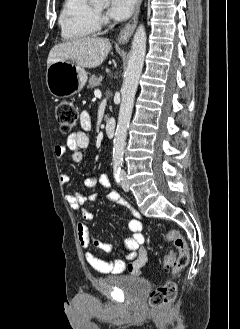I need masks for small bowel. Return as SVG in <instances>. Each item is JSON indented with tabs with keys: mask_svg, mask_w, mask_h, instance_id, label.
Listing matches in <instances>:
<instances>
[{
	"mask_svg": "<svg viewBox=\"0 0 240 329\" xmlns=\"http://www.w3.org/2000/svg\"><path fill=\"white\" fill-rule=\"evenodd\" d=\"M90 128V113L88 111H83L80 115V130L70 134L64 144H58L55 146L54 153L57 159H64L66 151L69 149L71 152L69 161L73 163H82L84 159L83 150L89 145L88 131ZM59 179L62 184H67L69 182V175L61 170ZM96 184H100L104 187H110L111 185L108 176L104 173H99L93 177H89L84 182L85 187L88 189ZM96 199V194L86 196L80 192L69 193L66 196V200L70 207L81 213V220L77 224V232L79 243L84 250V258L86 262L99 273L120 274L129 272L133 276H140L147 262L148 253L146 248L143 247L144 236L142 234V223L139 220V214L132 210L134 217L128 222V227L132 235L125 240L123 247L124 258L115 261L99 258L93 253V246L107 253L112 252L114 246L93 237L87 226V222L92 220L93 215L85 208V204L89 201H95ZM107 199L120 206L126 208L130 207L128 202L117 192H110L107 195Z\"/></svg>",
	"mask_w": 240,
	"mask_h": 329,
	"instance_id": "c3829d8e",
	"label": "small bowel"
}]
</instances>
